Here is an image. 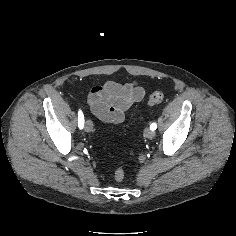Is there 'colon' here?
<instances>
[{
  "mask_svg": "<svg viewBox=\"0 0 236 236\" xmlns=\"http://www.w3.org/2000/svg\"><path fill=\"white\" fill-rule=\"evenodd\" d=\"M164 95L162 92L156 91L152 93L148 99V105H156L163 101ZM124 177V171L121 167L115 170V180L120 182Z\"/></svg>",
  "mask_w": 236,
  "mask_h": 236,
  "instance_id": "1",
  "label": "colon"
}]
</instances>
